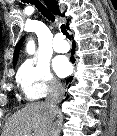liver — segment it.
Returning <instances> with one entry per match:
<instances>
[{"mask_svg": "<svg viewBox=\"0 0 117 136\" xmlns=\"http://www.w3.org/2000/svg\"><path fill=\"white\" fill-rule=\"evenodd\" d=\"M59 112L56 105L50 107L46 102L28 103L8 119L3 136H46L48 125Z\"/></svg>", "mask_w": 117, "mask_h": 136, "instance_id": "6515ba94", "label": "liver"}]
</instances>
